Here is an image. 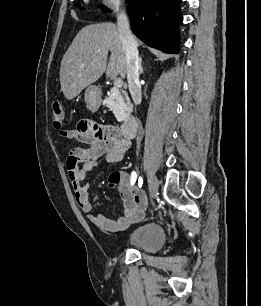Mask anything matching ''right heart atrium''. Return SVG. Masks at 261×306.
Wrapping results in <instances>:
<instances>
[{"mask_svg": "<svg viewBox=\"0 0 261 306\" xmlns=\"http://www.w3.org/2000/svg\"><path fill=\"white\" fill-rule=\"evenodd\" d=\"M125 2V0H99V5L104 11L112 13L121 10Z\"/></svg>", "mask_w": 261, "mask_h": 306, "instance_id": "1", "label": "right heart atrium"}]
</instances>
